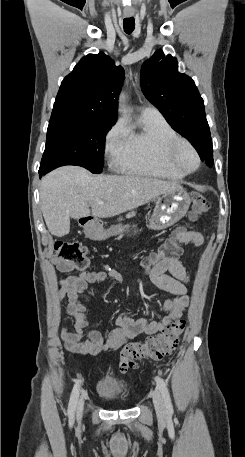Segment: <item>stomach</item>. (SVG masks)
I'll return each instance as SVG.
<instances>
[{"mask_svg": "<svg viewBox=\"0 0 245 457\" xmlns=\"http://www.w3.org/2000/svg\"><path fill=\"white\" fill-rule=\"evenodd\" d=\"M189 206L190 196L184 188L163 192L157 198L156 206L149 220V229H154V231L168 229V226L175 224L177 220H180L186 214ZM79 224L83 226L86 237H89L92 241H104V239H108L112 235H120V233H124L129 229V224H125V226L113 224L110 229H103V224L97 218L85 220L83 216L79 218Z\"/></svg>", "mask_w": 245, "mask_h": 457, "instance_id": "1", "label": "stomach"}]
</instances>
